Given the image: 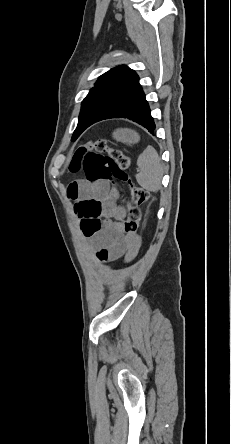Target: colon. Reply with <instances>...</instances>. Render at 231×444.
I'll return each mask as SVG.
<instances>
[{"label":"colon","instance_id":"colon-1","mask_svg":"<svg viewBox=\"0 0 231 444\" xmlns=\"http://www.w3.org/2000/svg\"><path fill=\"white\" fill-rule=\"evenodd\" d=\"M129 167L128 155L121 149L109 147L104 139L78 147L69 163L70 172H83L89 183L101 180L127 182ZM149 198L150 194L145 188L130 186V196L125 199L128 212L123 222V229L128 236L136 235L141 220L140 206ZM75 211L81 219V229L85 236L91 237L99 231L101 222L98 202L90 200L77 203Z\"/></svg>","mask_w":231,"mask_h":444}]
</instances>
